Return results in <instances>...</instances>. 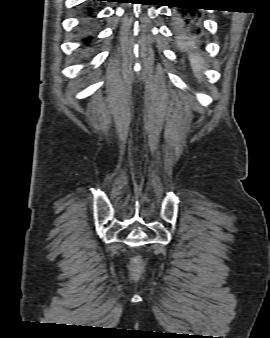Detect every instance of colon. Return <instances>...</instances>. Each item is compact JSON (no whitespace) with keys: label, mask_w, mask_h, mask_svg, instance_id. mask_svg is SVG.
<instances>
[{"label":"colon","mask_w":270,"mask_h":338,"mask_svg":"<svg viewBox=\"0 0 270 338\" xmlns=\"http://www.w3.org/2000/svg\"><path fill=\"white\" fill-rule=\"evenodd\" d=\"M139 270H140V260L137 257H135L133 258L132 264H131L132 275L136 276Z\"/></svg>","instance_id":"obj_1"}]
</instances>
